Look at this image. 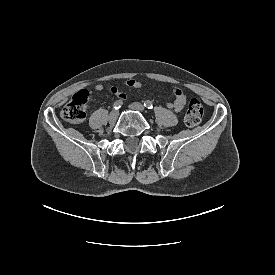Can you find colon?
Returning <instances> with one entry per match:
<instances>
[{"mask_svg": "<svg viewBox=\"0 0 275 275\" xmlns=\"http://www.w3.org/2000/svg\"><path fill=\"white\" fill-rule=\"evenodd\" d=\"M90 99L91 93L88 90L78 91L62 108V117L72 123L83 122L86 118V104ZM203 115L204 107L202 103L197 99H192L185 114V123L190 127L195 126L200 123Z\"/></svg>", "mask_w": 275, "mask_h": 275, "instance_id": "colon-1", "label": "colon"}]
</instances>
